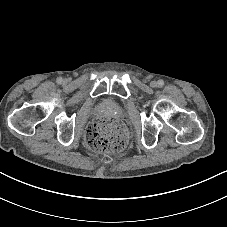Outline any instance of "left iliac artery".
I'll return each instance as SVG.
<instances>
[{
    "label": "left iliac artery",
    "instance_id": "left-iliac-artery-1",
    "mask_svg": "<svg viewBox=\"0 0 227 227\" xmlns=\"http://www.w3.org/2000/svg\"><path fill=\"white\" fill-rule=\"evenodd\" d=\"M158 86L159 87H163L164 86V81L163 80H159L158 81Z\"/></svg>",
    "mask_w": 227,
    "mask_h": 227
}]
</instances>
